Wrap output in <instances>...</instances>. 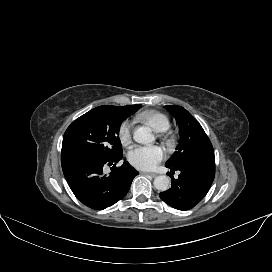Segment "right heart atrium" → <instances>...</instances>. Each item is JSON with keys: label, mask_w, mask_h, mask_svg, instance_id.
Instances as JSON below:
<instances>
[{"label": "right heart atrium", "mask_w": 272, "mask_h": 272, "mask_svg": "<svg viewBox=\"0 0 272 272\" xmlns=\"http://www.w3.org/2000/svg\"><path fill=\"white\" fill-rule=\"evenodd\" d=\"M132 132H133V123L132 121L126 120L121 123L118 130L119 141L123 146H127L130 144L132 140Z\"/></svg>", "instance_id": "d8ad5b80"}]
</instances>
